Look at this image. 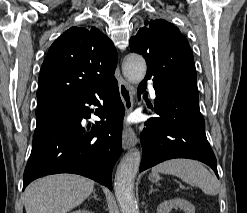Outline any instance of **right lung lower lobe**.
Returning a JSON list of instances; mask_svg holds the SVG:
<instances>
[{
    "label": "right lung lower lobe",
    "mask_w": 247,
    "mask_h": 213,
    "mask_svg": "<svg viewBox=\"0 0 247 213\" xmlns=\"http://www.w3.org/2000/svg\"><path fill=\"white\" fill-rule=\"evenodd\" d=\"M99 100L103 101V107ZM99 106L96 124H81ZM124 106L117 80L87 94H62L37 105V126L23 177V190L39 177L75 173L112 190L111 174L120 156ZM91 129V133L87 130Z\"/></svg>",
    "instance_id": "obj_1"
}]
</instances>
